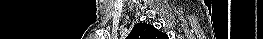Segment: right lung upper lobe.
<instances>
[{
  "label": "right lung upper lobe",
  "mask_w": 263,
  "mask_h": 39,
  "mask_svg": "<svg viewBox=\"0 0 263 39\" xmlns=\"http://www.w3.org/2000/svg\"><path fill=\"white\" fill-rule=\"evenodd\" d=\"M164 36L166 35L154 26L138 23L134 26L128 37L132 39H162Z\"/></svg>",
  "instance_id": "right-lung-upper-lobe-1"
}]
</instances>
